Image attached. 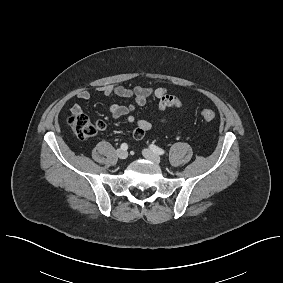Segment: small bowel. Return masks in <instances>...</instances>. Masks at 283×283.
Masks as SVG:
<instances>
[{
    "mask_svg": "<svg viewBox=\"0 0 283 283\" xmlns=\"http://www.w3.org/2000/svg\"><path fill=\"white\" fill-rule=\"evenodd\" d=\"M98 90L108 98H132L134 104L121 105L113 103L110 105L109 111L114 119L126 117L130 123H136L133 130V137L135 139H142L146 133L151 129L152 124L145 119H136L134 115L136 106H145L150 99L158 100V111L164 112L170 108H180V100L170 93L166 88H153L144 86H135L133 88H126L122 85H104L98 87ZM76 97L83 101H89L91 95L87 90H80L77 92ZM82 107L75 104L71 108V112L82 113Z\"/></svg>",
    "mask_w": 283,
    "mask_h": 283,
    "instance_id": "obj_1",
    "label": "small bowel"
}]
</instances>
